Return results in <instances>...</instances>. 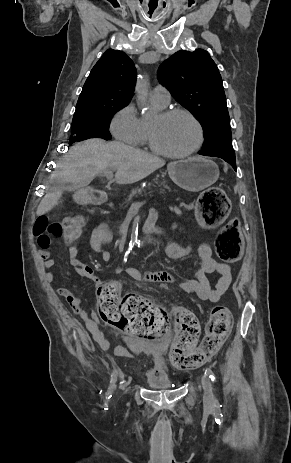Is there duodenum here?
I'll return each instance as SVG.
<instances>
[{
    "label": "duodenum",
    "mask_w": 291,
    "mask_h": 463,
    "mask_svg": "<svg viewBox=\"0 0 291 463\" xmlns=\"http://www.w3.org/2000/svg\"><path fill=\"white\" fill-rule=\"evenodd\" d=\"M89 196H90V202L94 203V204H102V203L106 202V200H107V194L101 189H94V190L90 191ZM152 226H154V218L149 219L147 221V224H146L145 228L150 229Z\"/></svg>",
    "instance_id": "410a0bca"
}]
</instances>
